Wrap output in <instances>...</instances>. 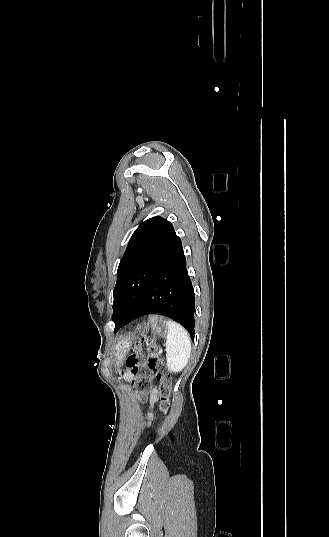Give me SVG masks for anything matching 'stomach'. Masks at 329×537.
I'll use <instances>...</instances> for the list:
<instances>
[{"mask_svg":"<svg viewBox=\"0 0 329 537\" xmlns=\"http://www.w3.org/2000/svg\"><path fill=\"white\" fill-rule=\"evenodd\" d=\"M139 331L143 334H146L148 331H151L154 335L161 338L165 337L168 333V321L159 315H152L149 317L148 322L139 327ZM131 346V335H126L120 338V340L115 345V360L119 364L122 363L126 353L129 351Z\"/></svg>","mask_w":329,"mask_h":537,"instance_id":"1","label":"stomach"}]
</instances>
